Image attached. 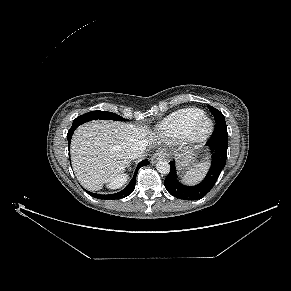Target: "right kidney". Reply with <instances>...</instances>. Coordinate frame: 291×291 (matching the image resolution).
Here are the masks:
<instances>
[{
    "label": "right kidney",
    "mask_w": 291,
    "mask_h": 291,
    "mask_svg": "<svg viewBox=\"0 0 291 291\" xmlns=\"http://www.w3.org/2000/svg\"><path fill=\"white\" fill-rule=\"evenodd\" d=\"M126 180H127V176L125 174L121 175V176H118V177L114 178L109 183V187L112 188V189L119 188L120 186H122L124 184V182Z\"/></svg>",
    "instance_id": "right-kidney-1"
}]
</instances>
